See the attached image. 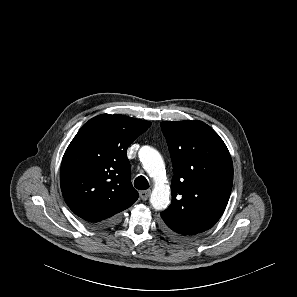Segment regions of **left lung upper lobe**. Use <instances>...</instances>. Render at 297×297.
Wrapping results in <instances>:
<instances>
[{"instance_id": "obj_1", "label": "left lung upper lobe", "mask_w": 297, "mask_h": 297, "mask_svg": "<svg viewBox=\"0 0 297 297\" xmlns=\"http://www.w3.org/2000/svg\"><path fill=\"white\" fill-rule=\"evenodd\" d=\"M169 147L174 176L172 202L161 212L162 224L180 238L215 225L228 203L233 163L219 135L201 121L160 123Z\"/></svg>"}]
</instances>
